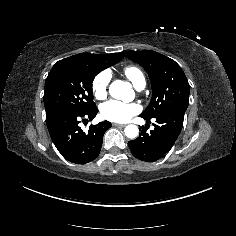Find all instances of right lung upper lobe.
<instances>
[{"mask_svg": "<svg viewBox=\"0 0 236 236\" xmlns=\"http://www.w3.org/2000/svg\"><path fill=\"white\" fill-rule=\"evenodd\" d=\"M124 52L121 53H113V54H89V53H81V54H77L74 56H99L102 58L107 59L109 62L112 63H118L123 57H124Z\"/></svg>", "mask_w": 236, "mask_h": 236, "instance_id": "obj_1", "label": "right lung upper lobe"}]
</instances>
